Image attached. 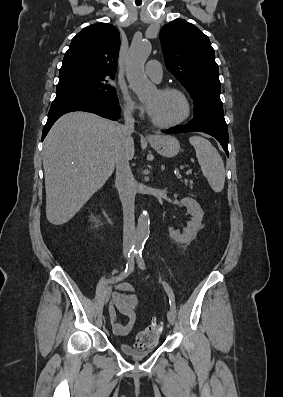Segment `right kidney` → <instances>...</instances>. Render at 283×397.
<instances>
[{"label":"right kidney","instance_id":"obj_1","mask_svg":"<svg viewBox=\"0 0 283 397\" xmlns=\"http://www.w3.org/2000/svg\"><path fill=\"white\" fill-rule=\"evenodd\" d=\"M90 221L95 222L96 226H97L98 223H99V220H97V219H96L95 217H93V216L90 217Z\"/></svg>","mask_w":283,"mask_h":397}]
</instances>
